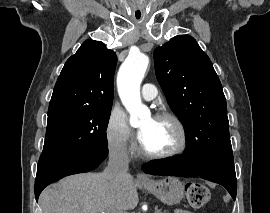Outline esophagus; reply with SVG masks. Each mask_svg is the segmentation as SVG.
<instances>
[{"label":"esophagus","instance_id":"esophagus-1","mask_svg":"<svg viewBox=\"0 0 270 213\" xmlns=\"http://www.w3.org/2000/svg\"><path fill=\"white\" fill-rule=\"evenodd\" d=\"M137 180H138L139 182H147V181H149V177L146 176V175L143 174V173H138V174H137Z\"/></svg>","mask_w":270,"mask_h":213}]
</instances>
